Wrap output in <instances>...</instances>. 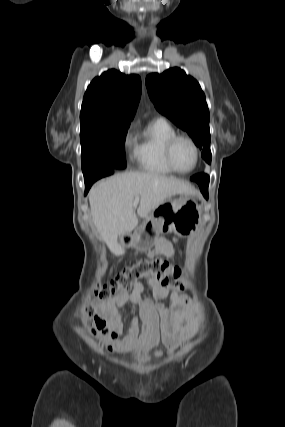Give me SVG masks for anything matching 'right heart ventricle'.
<instances>
[{
    "mask_svg": "<svg viewBox=\"0 0 285 427\" xmlns=\"http://www.w3.org/2000/svg\"><path fill=\"white\" fill-rule=\"evenodd\" d=\"M177 134L175 128L164 118L151 121L138 135L134 159L138 167L148 173L171 175L174 171L165 160L167 141Z\"/></svg>",
    "mask_w": 285,
    "mask_h": 427,
    "instance_id": "obj_1",
    "label": "right heart ventricle"
}]
</instances>
